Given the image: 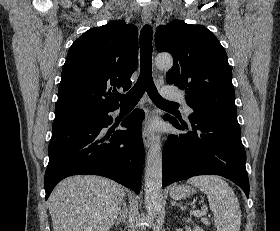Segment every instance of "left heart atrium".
Wrapping results in <instances>:
<instances>
[{"label":"left heart atrium","instance_id":"39dd6f15","mask_svg":"<svg viewBox=\"0 0 280 231\" xmlns=\"http://www.w3.org/2000/svg\"><path fill=\"white\" fill-rule=\"evenodd\" d=\"M148 128H149L150 130H153V129H155V125H154V124H150V125L148 126Z\"/></svg>","mask_w":280,"mask_h":231}]
</instances>
